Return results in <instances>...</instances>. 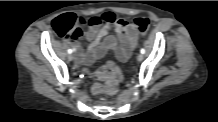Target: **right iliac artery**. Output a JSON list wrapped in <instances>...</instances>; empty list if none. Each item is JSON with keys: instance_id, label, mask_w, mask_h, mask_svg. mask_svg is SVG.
I'll return each mask as SVG.
<instances>
[{"instance_id": "obj_1", "label": "right iliac artery", "mask_w": 218, "mask_h": 122, "mask_svg": "<svg viewBox=\"0 0 218 122\" xmlns=\"http://www.w3.org/2000/svg\"><path fill=\"white\" fill-rule=\"evenodd\" d=\"M68 53L71 54L72 53V49H68Z\"/></svg>"}]
</instances>
